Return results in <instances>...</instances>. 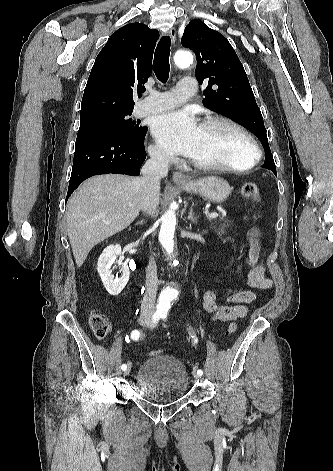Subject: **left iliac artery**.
I'll list each match as a JSON object with an SVG mask.
<instances>
[{
    "mask_svg": "<svg viewBox=\"0 0 333 471\" xmlns=\"http://www.w3.org/2000/svg\"><path fill=\"white\" fill-rule=\"evenodd\" d=\"M160 318H162L163 320H165V319L167 318V311L161 312V313H160ZM193 337H194V339H195V343H197V342H198L197 338H196L195 336H193ZM194 370H195V368H194ZM197 374L202 375V374H203V371H202L201 369H198V370H197Z\"/></svg>",
    "mask_w": 333,
    "mask_h": 471,
    "instance_id": "44dca946",
    "label": "left iliac artery"
}]
</instances>
